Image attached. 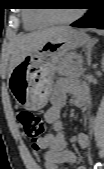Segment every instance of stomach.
Segmentation results:
<instances>
[{
  "mask_svg": "<svg viewBox=\"0 0 104 169\" xmlns=\"http://www.w3.org/2000/svg\"><path fill=\"white\" fill-rule=\"evenodd\" d=\"M90 41L85 32L70 29L27 55L13 69L8 80L17 105L31 111L43 108L49 100L59 61L68 51Z\"/></svg>",
  "mask_w": 104,
  "mask_h": 169,
  "instance_id": "1",
  "label": "stomach"
}]
</instances>
